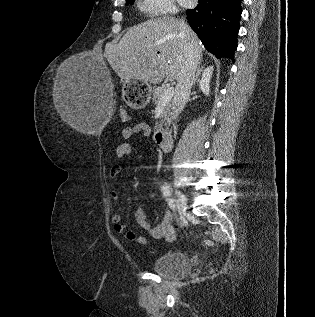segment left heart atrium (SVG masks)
I'll list each match as a JSON object with an SVG mask.
<instances>
[{
    "instance_id": "39dd6f15",
    "label": "left heart atrium",
    "mask_w": 315,
    "mask_h": 317,
    "mask_svg": "<svg viewBox=\"0 0 315 317\" xmlns=\"http://www.w3.org/2000/svg\"><path fill=\"white\" fill-rule=\"evenodd\" d=\"M182 4L187 5L189 3V0H179Z\"/></svg>"
}]
</instances>
